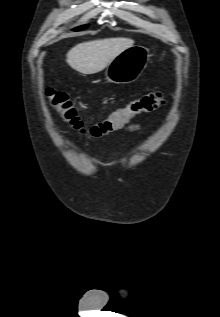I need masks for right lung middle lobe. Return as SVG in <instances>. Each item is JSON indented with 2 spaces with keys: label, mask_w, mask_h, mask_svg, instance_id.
<instances>
[{
  "label": "right lung middle lobe",
  "mask_w": 220,
  "mask_h": 317,
  "mask_svg": "<svg viewBox=\"0 0 220 317\" xmlns=\"http://www.w3.org/2000/svg\"><path fill=\"white\" fill-rule=\"evenodd\" d=\"M87 27V25H84V26H80V27H77L74 29V31H80V30H83Z\"/></svg>",
  "instance_id": "obj_1"
}]
</instances>
